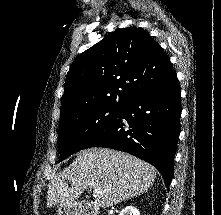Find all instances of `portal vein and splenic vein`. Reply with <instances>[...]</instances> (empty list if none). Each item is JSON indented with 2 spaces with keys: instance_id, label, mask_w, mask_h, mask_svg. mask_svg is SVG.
Returning a JSON list of instances; mask_svg holds the SVG:
<instances>
[{
  "instance_id": "18ae733b",
  "label": "portal vein and splenic vein",
  "mask_w": 221,
  "mask_h": 215,
  "mask_svg": "<svg viewBox=\"0 0 221 215\" xmlns=\"http://www.w3.org/2000/svg\"><path fill=\"white\" fill-rule=\"evenodd\" d=\"M94 193L95 194H100V193H102V190L101 189H94Z\"/></svg>"
}]
</instances>
